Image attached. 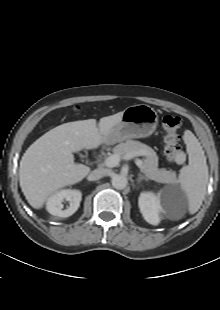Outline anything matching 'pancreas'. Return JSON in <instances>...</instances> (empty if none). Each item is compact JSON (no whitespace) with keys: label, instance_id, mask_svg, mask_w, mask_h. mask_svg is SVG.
<instances>
[{"label":"pancreas","instance_id":"cf45deb5","mask_svg":"<svg viewBox=\"0 0 220 310\" xmlns=\"http://www.w3.org/2000/svg\"><path fill=\"white\" fill-rule=\"evenodd\" d=\"M113 152L120 157L125 155H130L131 157L145 156L142 172L148 179L163 184H173L177 180L174 171L158 168V156L156 152L151 147L139 141L127 140L115 146Z\"/></svg>","mask_w":220,"mask_h":310}]
</instances>
